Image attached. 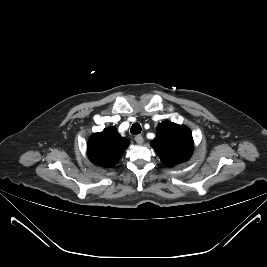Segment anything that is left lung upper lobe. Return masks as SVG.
<instances>
[{"mask_svg":"<svg viewBox=\"0 0 267 267\" xmlns=\"http://www.w3.org/2000/svg\"><path fill=\"white\" fill-rule=\"evenodd\" d=\"M150 144L161 161L169 167L186 161L193 151L189 128L167 121L159 124L157 136Z\"/></svg>","mask_w":267,"mask_h":267,"instance_id":"1","label":"left lung upper lobe"}]
</instances>
